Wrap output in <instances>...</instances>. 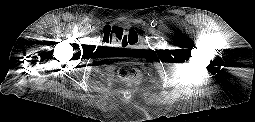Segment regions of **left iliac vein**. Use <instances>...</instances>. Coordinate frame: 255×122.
Masks as SVG:
<instances>
[{"label":"left iliac vein","mask_w":255,"mask_h":122,"mask_svg":"<svg viewBox=\"0 0 255 122\" xmlns=\"http://www.w3.org/2000/svg\"><path fill=\"white\" fill-rule=\"evenodd\" d=\"M148 31L151 34H154L155 33V28L151 26V27H149Z\"/></svg>","instance_id":"obj_1"}]
</instances>
